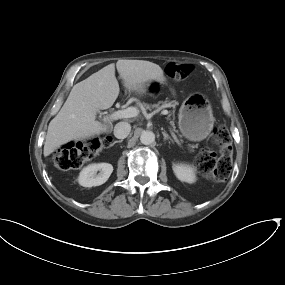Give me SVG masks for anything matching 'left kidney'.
<instances>
[{
	"label": "left kidney",
	"mask_w": 285,
	"mask_h": 285,
	"mask_svg": "<svg viewBox=\"0 0 285 285\" xmlns=\"http://www.w3.org/2000/svg\"><path fill=\"white\" fill-rule=\"evenodd\" d=\"M176 177L183 182L194 183L196 180L194 167L187 164H173Z\"/></svg>",
	"instance_id": "1"
}]
</instances>
